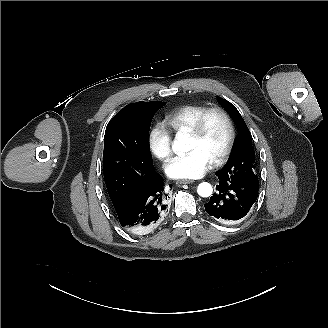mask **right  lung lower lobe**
I'll list each match as a JSON object with an SVG mask.
<instances>
[{
  "mask_svg": "<svg viewBox=\"0 0 328 328\" xmlns=\"http://www.w3.org/2000/svg\"><path fill=\"white\" fill-rule=\"evenodd\" d=\"M166 196L162 178L156 173L145 191L133 194L116 209L121 226L138 235L149 233L163 220Z\"/></svg>",
  "mask_w": 328,
  "mask_h": 328,
  "instance_id": "98d812e1",
  "label": "right lung lower lobe"
}]
</instances>
